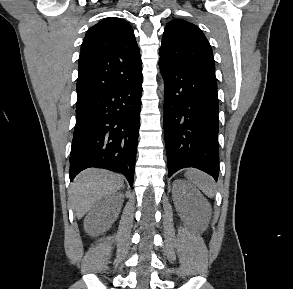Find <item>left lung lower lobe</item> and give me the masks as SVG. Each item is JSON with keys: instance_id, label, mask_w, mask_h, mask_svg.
Returning a JSON list of instances; mask_svg holds the SVG:
<instances>
[{"instance_id": "left-lung-lower-lobe-1", "label": "left lung lower lobe", "mask_w": 293, "mask_h": 289, "mask_svg": "<svg viewBox=\"0 0 293 289\" xmlns=\"http://www.w3.org/2000/svg\"><path fill=\"white\" fill-rule=\"evenodd\" d=\"M165 81L164 135L168 176L185 167L219 175L216 77L159 62Z\"/></svg>"}]
</instances>
